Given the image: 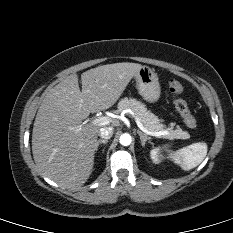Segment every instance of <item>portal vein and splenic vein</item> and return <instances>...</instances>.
Wrapping results in <instances>:
<instances>
[{
	"label": "portal vein and splenic vein",
	"instance_id": "portal-vein-and-splenic-vein-1",
	"mask_svg": "<svg viewBox=\"0 0 233 233\" xmlns=\"http://www.w3.org/2000/svg\"><path fill=\"white\" fill-rule=\"evenodd\" d=\"M134 119H135V122H136L137 126L139 127V129L142 130L147 135L155 136V137H161V136H167V135H169V132L166 131V130H163V131H154V132L153 131H149L147 128H145L143 126V124L140 122V120L136 116H134ZM111 122H112L111 118H109L107 116H102V117L96 118L92 122V124L93 125L103 126V125L110 124Z\"/></svg>",
	"mask_w": 233,
	"mask_h": 233
}]
</instances>
